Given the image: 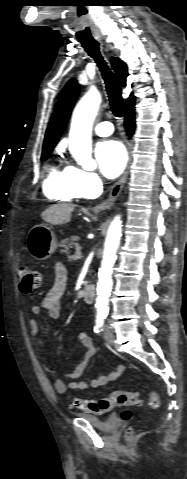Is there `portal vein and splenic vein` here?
<instances>
[{
  "instance_id": "1",
  "label": "portal vein and splenic vein",
  "mask_w": 187,
  "mask_h": 479,
  "mask_svg": "<svg viewBox=\"0 0 187 479\" xmlns=\"http://www.w3.org/2000/svg\"><path fill=\"white\" fill-rule=\"evenodd\" d=\"M75 248H76L75 258L77 259L82 258L81 247L79 245H76Z\"/></svg>"
}]
</instances>
